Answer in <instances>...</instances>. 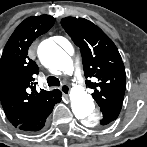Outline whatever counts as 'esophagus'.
<instances>
[{"mask_svg":"<svg viewBox=\"0 0 147 147\" xmlns=\"http://www.w3.org/2000/svg\"><path fill=\"white\" fill-rule=\"evenodd\" d=\"M60 90H61L62 93H63L64 95H66V96H68L69 93H70V87H69L67 84H62V85L60 86Z\"/></svg>","mask_w":147,"mask_h":147,"instance_id":"1","label":"esophagus"}]
</instances>
